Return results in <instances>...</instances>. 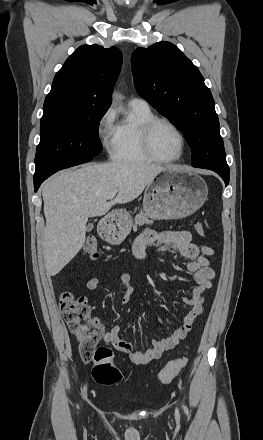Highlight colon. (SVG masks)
<instances>
[{
	"label": "colon",
	"mask_w": 263,
	"mask_h": 440,
	"mask_svg": "<svg viewBox=\"0 0 263 440\" xmlns=\"http://www.w3.org/2000/svg\"><path fill=\"white\" fill-rule=\"evenodd\" d=\"M200 236L205 235L201 223L195 225ZM83 252L90 258L99 257V250L95 239H88ZM59 305L68 328L78 343V354L83 361H93L92 377L94 381L103 384H114L123 381V376L113 365L112 351L104 346L97 347L98 332L93 326V317L84 296H77L72 292L61 293ZM187 355L174 359L159 376L160 385H168L185 367Z\"/></svg>",
	"instance_id": "1"
}]
</instances>
